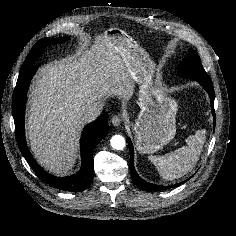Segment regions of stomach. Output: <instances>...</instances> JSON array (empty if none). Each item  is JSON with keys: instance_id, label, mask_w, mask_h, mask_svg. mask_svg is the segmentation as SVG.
Listing matches in <instances>:
<instances>
[{"instance_id": "0dacf381", "label": "stomach", "mask_w": 236, "mask_h": 236, "mask_svg": "<svg viewBox=\"0 0 236 236\" xmlns=\"http://www.w3.org/2000/svg\"><path fill=\"white\" fill-rule=\"evenodd\" d=\"M110 44L121 55L132 79L140 85V112L133 124L135 145L140 153H154L176 134L177 102L154 83L156 64L125 31H105Z\"/></svg>"}]
</instances>
